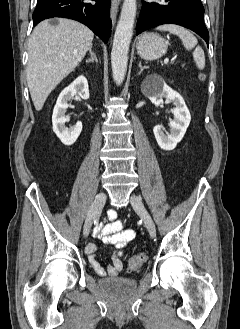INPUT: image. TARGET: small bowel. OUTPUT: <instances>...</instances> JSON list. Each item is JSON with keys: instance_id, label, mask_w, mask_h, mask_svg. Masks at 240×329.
Listing matches in <instances>:
<instances>
[{"instance_id": "obj_1", "label": "small bowel", "mask_w": 240, "mask_h": 329, "mask_svg": "<svg viewBox=\"0 0 240 329\" xmlns=\"http://www.w3.org/2000/svg\"><path fill=\"white\" fill-rule=\"evenodd\" d=\"M108 221L95 228L94 234L102 240L105 245L111 246V262L107 267H103L97 259L96 252L98 245L89 243L86 247L88 260L95 272L101 276H117L123 269V247L131 242L135 237V231L125 228L122 221L117 219L114 210H109Z\"/></svg>"}]
</instances>
